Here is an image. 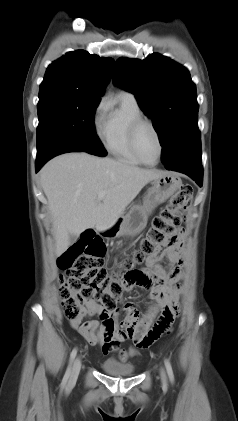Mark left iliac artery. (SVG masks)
Instances as JSON below:
<instances>
[{"label": "left iliac artery", "mask_w": 238, "mask_h": 421, "mask_svg": "<svg viewBox=\"0 0 238 421\" xmlns=\"http://www.w3.org/2000/svg\"><path fill=\"white\" fill-rule=\"evenodd\" d=\"M164 362H165V367H166L169 379L173 383L174 382V374H173L172 366H171L168 359H165Z\"/></svg>", "instance_id": "44dca946"}]
</instances>
